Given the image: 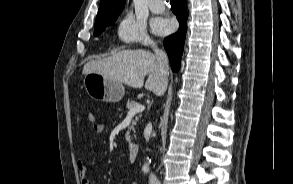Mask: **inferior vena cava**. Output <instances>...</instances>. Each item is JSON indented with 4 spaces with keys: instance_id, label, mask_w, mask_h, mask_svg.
I'll list each match as a JSON object with an SVG mask.
<instances>
[{
    "instance_id": "1",
    "label": "inferior vena cava",
    "mask_w": 293,
    "mask_h": 184,
    "mask_svg": "<svg viewBox=\"0 0 293 184\" xmlns=\"http://www.w3.org/2000/svg\"><path fill=\"white\" fill-rule=\"evenodd\" d=\"M152 47L156 55V61L158 65L159 74L161 77V82H162V89L165 90L167 87L168 75H169L168 57L162 50L158 49L155 45H153ZM161 94L162 93H160L159 95ZM149 184H160V182L154 174H150Z\"/></svg>"
}]
</instances>
